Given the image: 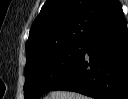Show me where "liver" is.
Returning a JSON list of instances; mask_svg holds the SVG:
<instances>
[{
  "mask_svg": "<svg viewBox=\"0 0 128 99\" xmlns=\"http://www.w3.org/2000/svg\"><path fill=\"white\" fill-rule=\"evenodd\" d=\"M45 99H89L86 96H83L74 92L66 91H55L51 92Z\"/></svg>",
  "mask_w": 128,
  "mask_h": 99,
  "instance_id": "obj_1",
  "label": "liver"
}]
</instances>
